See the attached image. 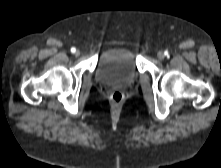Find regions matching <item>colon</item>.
<instances>
[{
    "instance_id": "colon-1",
    "label": "colon",
    "mask_w": 221,
    "mask_h": 168,
    "mask_svg": "<svg viewBox=\"0 0 221 168\" xmlns=\"http://www.w3.org/2000/svg\"><path fill=\"white\" fill-rule=\"evenodd\" d=\"M123 94L120 91H114L110 95V99L113 104L119 105L123 101Z\"/></svg>"
}]
</instances>
